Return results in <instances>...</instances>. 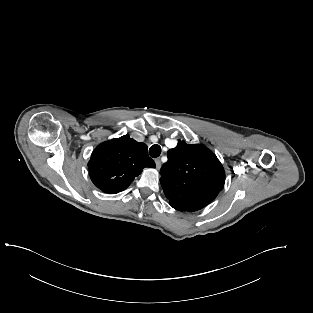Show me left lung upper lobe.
I'll list each match as a JSON object with an SVG mask.
<instances>
[{
	"instance_id": "5c2ea615",
	"label": "left lung upper lobe",
	"mask_w": 313,
	"mask_h": 313,
	"mask_svg": "<svg viewBox=\"0 0 313 313\" xmlns=\"http://www.w3.org/2000/svg\"><path fill=\"white\" fill-rule=\"evenodd\" d=\"M160 182L175 209L193 212L211 203L224 187L225 171L216 155L200 144L179 141L168 151Z\"/></svg>"
}]
</instances>
